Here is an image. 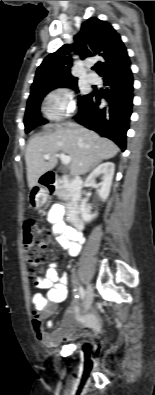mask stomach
<instances>
[{
  "instance_id": "obj_1",
  "label": "stomach",
  "mask_w": 155,
  "mask_h": 395,
  "mask_svg": "<svg viewBox=\"0 0 155 395\" xmlns=\"http://www.w3.org/2000/svg\"><path fill=\"white\" fill-rule=\"evenodd\" d=\"M46 199L47 193L43 188L35 186L30 190L28 200L32 207L38 208L42 206L45 203Z\"/></svg>"
}]
</instances>
